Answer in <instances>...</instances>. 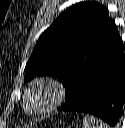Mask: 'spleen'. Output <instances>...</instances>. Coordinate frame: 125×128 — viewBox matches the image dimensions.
<instances>
[{
    "label": "spleen",
    "mask_w": 125,
    "mask_h": 128,
    "mask_svg": "<svg viewBox=\"0 0 125 128\" xmlns=\"http://www.w3.org/2000/svg\"><path fill=\"white\" fill-rule=\"evenodd\" d=\"M83 128H109V126L91 115H86L83 119Z\"/></svg>",
    "instance_id": "spleen-1"
}]
</instances>
